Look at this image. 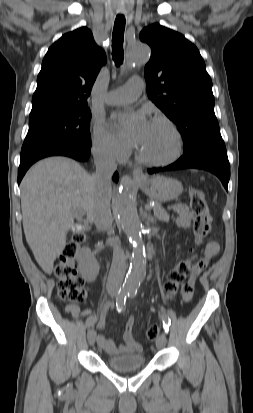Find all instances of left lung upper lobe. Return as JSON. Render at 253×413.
I'll return each instance as SVG.
<instances>
[{"label":"left lung upper lobe","instance_id":"5c2ea615","mask_svg":"<svg viewBox=\"0 0 253 413\" xmlns=\"http://www.w3.org/2000/svg\"><path fill=\"white\" fill-rule=\"evenodd\" d=\"M140 40L152 49L145 66L148 97L178 126L183 156L200 157L225 147L214 113L212 81L196 46L158 23L144 28Z\"/></svg>","mask_w":253,"mask_h":413}]
</instances>
